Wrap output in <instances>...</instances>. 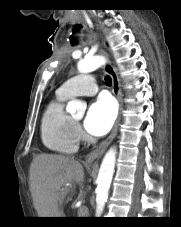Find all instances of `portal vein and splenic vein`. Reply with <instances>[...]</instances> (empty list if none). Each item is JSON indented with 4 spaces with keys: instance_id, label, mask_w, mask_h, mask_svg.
Wrapping results in <instances>:
<instances>
[{
    "instance_id": "obj_1",
    "label": "portal vein and splenic vein",
    "mask_w": 181,
    "mask_h": 227,
    "mask_svg": "<svg viewBox=\"0 0 181 227\" xmlns=\"http://www.w3.org/2000/svg\"><path fill=\"white\" fill-rule=\"evenodd\" d=\"M80 209H81L82 212L83 211H87V207L86 206H81Z\"/></svg>"
}]
</instances>
